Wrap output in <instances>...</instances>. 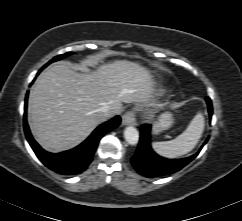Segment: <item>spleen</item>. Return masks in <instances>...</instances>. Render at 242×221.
<instances>
[{
	"instance_id": "3e777b00",
	"label": "spleen",
	"mask_w": 242,
	"mask_h": 221,
	"mask_svg": "<svg viewBox=\"0 0 242 221\" xmlns=\"http://www.w3.org/2000/svg\"><path fill=\"white\" fill-rule=\"evenodd\" d=\"M204 117L198 113L186 130L170 141L153 142L156 153L166 158H177L190 152L199 142L204 130Z\"/></svg>"
}]
</instances>
